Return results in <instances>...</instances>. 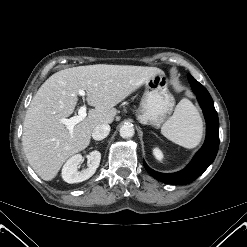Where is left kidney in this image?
<instances>
[{
	"label": "left kidney",
	"mask_w": 247,
	"mask_h": 247,
	"mask_svg": "<svg viewBox=\"0 0 247 247\" xmlns=\"http://www.w3.org/2000/svg\"><path fill=\"white\" fill-rule=\"evenodd\" d=\"M153 155L154 157L158 160V161H162L163 160V153L160 149L158 148H154L153 149Z\"/></svg>",
	"instance_id": "left-kidney-1"
}]
</instances>
